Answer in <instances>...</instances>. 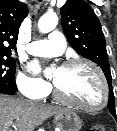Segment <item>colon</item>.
I'll return each instance as SVG.
<instances>
[{
	"label": "colon",
	"mask_w": 117,
	"mask_h": 131,
	"mask_svg": "<svg viewBox=\"0 0 117 131\" xmlns=\"http://www.w3.org/2000/svg\"><path fill=\"white\" fill-rule=\"evenodd\" d=\"M88 131H106V129L102 124H95Z\"/></svg>",
	"instance_id": "colon-1"
}]
</instances>
